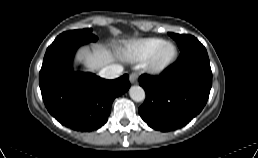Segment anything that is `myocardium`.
Returning a JSON list of instances; mask_svg holds the SVG:
<instances>
[{"label":"myocardium","instance_id":"obj_1","mask_svg":"<svg viewBox=\"0 0 258 158\" xmlns=\"http://www.w3.org/2000/svg\"><path fill=\"white\" fill-rule=\"evenodd\" d=\"M170 45L174 48V54L173 56L162 62L157 63L156 59L158 57L159 52L164 46ZM178 58V48L177 46L169 41H163L157 48L154 49V51L148 56L145 62V68L146 70L151 74H160L163 73L165 70H167Z\"/></svg>","mask_w":258,"mask_h":158}]
</instances>
